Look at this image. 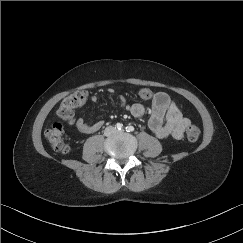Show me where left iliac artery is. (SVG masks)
I'll use <instances>...</instances> for the list:
<instances>
[{
    "label": "left iliac artery",
    "instance_id": "obj_1",
    "mask_svg": "<svg viewBox=\"0 0 243 243\" xmlns=\"http://www.w3.org/2000/svg\"><path fill=\"white\" fill-rule=\"evenodd\" d=\"M125 129H126L127 132H133L134 131L133 126H127Z\"/></svg>",
    "mask_w": 243,
    "mask_h": 243
}]
</instances>
